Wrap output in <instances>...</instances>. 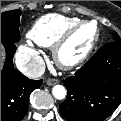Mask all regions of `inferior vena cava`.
<instances>
[{
  "label": "inferior vena cava",
  "instance_id": "1",
  "mask_svg": "<svg viewBox=\"0 0 121 121\" xmlns=\"http://www.w3.org/2000/svg\"><path fill=\"white\" fill-rule=\"evenodd\" d=\"M17 68L29 78H39L45 72V63L41 57L34 58L29 64H18Z\"/></svg>",
  "mask_w": 121,
  "mask_h": 121
}]
</instances>
